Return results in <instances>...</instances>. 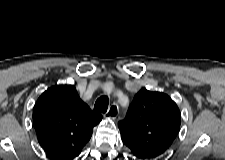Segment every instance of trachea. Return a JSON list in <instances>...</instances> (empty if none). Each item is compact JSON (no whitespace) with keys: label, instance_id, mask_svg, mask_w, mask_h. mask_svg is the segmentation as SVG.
Segmentation results:
<instances>
[{"label":"trachea","instance_id":"trachea-1","mask_svg":"<svg viewBox=\"0 0 225 160\" xmlns=\"http://www.w3.org/2000/svg\"><path fill=\"white\" fill-rule=\"evenodd\" d=\"M109 99L107 96L99 97L94 105V110L97 112L105 113L108 108Z\"/></svg>","mask_w":225,"mask_h":160}]
</instances>
